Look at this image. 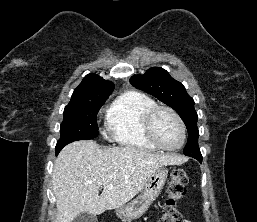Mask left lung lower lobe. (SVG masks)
<instances>
[{"instance_id": "1", "label": "left lung lower lobe", "mask_w": 257, "mask_h": 222, "mask_svg": "<svg viewBox=\"0 0 257 222\" xmlns=\"http://www.w3.org/2000/svg\"><path fill=\"white\" fill-rule=\"evenodd\" d=\"M197 159L200 163H202V157H198V158H195Z\"/></svg>"}]
</instances>
